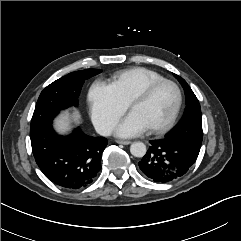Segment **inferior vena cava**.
<instances>
[{
  "label": "inferior vena cava",
  "instance_id": "inferior-vena-cava-1",
  "mask_svg": "<svg viewBox=\"0 0 241 241\" xmlns=\"http://www.w3.org/2000/svg\"><path fill=\"white\" fill-rule=\"evenodd\" d=\"M96 131L102 136H109L112 132V127L109 125H102L96 127Z\"/></svg>",
  "mask_w": 241,
  "mask_h": 241
}]
</instances>
